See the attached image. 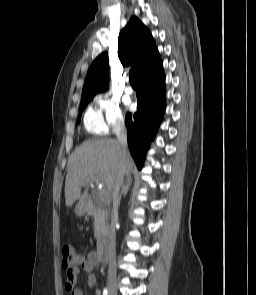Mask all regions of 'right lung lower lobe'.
Masks as SVG:
<instances>
[{
  "instance_id": "98d812e1",
  "label": "right lung lower lobe",
  "mask_w": 256,
  "mask_h": 295,
  "mask_svg": "<svg viewBox=\"0 0 256 295\" xmlns=\"http://www.w3.org/2000/svg\"><path fill=\"white\" fill-rule=\"evenodd\" d=\"M137 85V112L126 115L125 125L130 153L141 169L149 142L153 140L166 108L163 63L143 73L137 79Z\"/></svg>"
}]
</instances>
